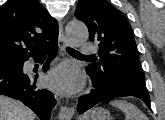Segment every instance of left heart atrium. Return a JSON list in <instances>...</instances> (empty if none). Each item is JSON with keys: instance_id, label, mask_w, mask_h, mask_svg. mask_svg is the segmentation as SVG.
Listing matches in <instances>:
<instances>
[{"instance_id": "left-heart-atrium-1", "label": "left heart atrium", "mask_w": 165, "mask_h": 120, "mask_svg": "<svg viewBox=\"0 0 165 120\" xmlns=\"http://www.w3.org/2000/svg\"><path fill=\"white\" fill-rule=\"evenodd\" d=\"M45 81L51 89L61 94H73L82 85L79 71L69 63H63L54 68Z\"/></svg>"}]
</instances>
